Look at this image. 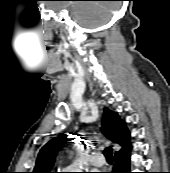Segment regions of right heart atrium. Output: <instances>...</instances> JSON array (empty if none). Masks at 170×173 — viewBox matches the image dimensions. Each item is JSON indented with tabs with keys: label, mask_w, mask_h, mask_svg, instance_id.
I'll use <instances>...</instances> for the list:
<instances>
[{
	"label": "right heart atrium",
	"mask_w": 170,
	"mask_h": 173,
	"mask_svg": "<svg viewBox=\"0 0 170 173\" xmlns=\"http://www.w3.org/2000/svg\"><path fill=\"white\" fill-rule=\"evenodd\" d=\"M64 169H66L65 173H72V172H70V170L73 169V167H65Z\"/></svg>",
	"instance_id": "d8ad5b80"
}]
</instances>
